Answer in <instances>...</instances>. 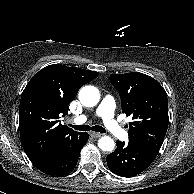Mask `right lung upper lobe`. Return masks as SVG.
<instances>
[{"label":"right lung upper lobe","mask_w":194,"mask_h":194,"mask_svg":"<svg viewBox=\"0 0 194 194\" xmlns=\"http://www.w3.org/2000/svg\"><path fill=\"white\" fill-rule=\"evenodd\" d=\"M96 71L53 64L41 69L25 87L19 106L21 143L30 161H43L58 145L79 134L59 123L80 87Z\"/></svg>","instance_id":"cb5924a9"}]
</instances>
